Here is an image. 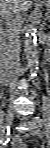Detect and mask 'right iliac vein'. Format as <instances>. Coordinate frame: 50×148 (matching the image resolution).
<instances>
[{
  "label": "right iliac vein",
  "instance_id": "obj_1",
  "mask_svg": "<svg viewBox=\"0 0 50 148\" xmlns=\"http://www.w3.org/2000/svg\"><path fill=\"white\" fill-rule=\"evenodd\" d=\"M13 118H14V109L13 108H10L6 114V125L9 126L12 121H13ZM4 130L5 128H2L1 129V139H4L5 138V133H4Z\"/></svg>",
  "mask_w": 50,
  "mask_h": 148
}]
</instances>
